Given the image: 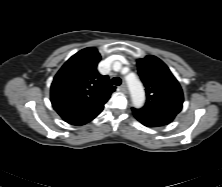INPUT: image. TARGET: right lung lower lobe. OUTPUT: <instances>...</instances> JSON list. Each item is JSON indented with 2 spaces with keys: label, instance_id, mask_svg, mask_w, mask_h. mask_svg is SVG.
<instances>
[{
  "label": "right lung lower lobe",
  "instance_id": "obj_1",
  "mask_svg": "<svg viewBox=\"0 0 222 187\" xmlns=\"http://www.w3.org/2000/svg\"><path fill=\"white\" fill-rule=\"evenodd\" d=\"M90 121H91V120H90ZM87 122H89V121L71 122L70 124H72V125H84V124H86Z\"/></svg>",
  "mask_w": 222,
  "mask_h": 187
}]
</instances>
